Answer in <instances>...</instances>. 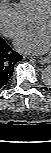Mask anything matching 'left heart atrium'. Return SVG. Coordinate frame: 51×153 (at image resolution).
Returning <instances> with one entry per match:
<instances>
[{"instance_id": "39dd6f15", "label": "left heart atrium", "mask_w": 51, "mask_h": 153, "mask_svg": "<svg viewBox=\"0 0 51 153\" xmlns=\"http://www.w3.org/2000/svg\"><path fill=\"white\" fill-rule=\"evenodd\" d=\"M16 47L26 53L41 54L49 50L51 46L50 33L44 29H38L19 38Z\"/></svg>"}]
</instances>
